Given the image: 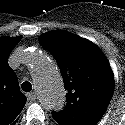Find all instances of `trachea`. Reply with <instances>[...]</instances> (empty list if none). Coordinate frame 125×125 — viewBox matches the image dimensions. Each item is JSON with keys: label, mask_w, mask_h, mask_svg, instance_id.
Masks as SVG:
<instances>
[{"label": "trachea", "mask_w": 125, "mask_h": 125, "mask_svg": "<svg viewBox=\"0 0 125 125\" xmlns=\"http://www.w3.org/2000/svg\"><path fill=\"white\" fill-rule=\"evenodd\" d=\"M21 87H22V90L25 92H30L32 90V84L28 81L23 82Z\"/></svg>", "instance_id": "1"}]
</instances>
